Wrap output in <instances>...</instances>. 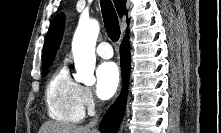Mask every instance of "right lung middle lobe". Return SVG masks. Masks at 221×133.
<instances>
[{
    "instance_id": "obj_1",
    "label": "right lung middle lobe",
    "mask_w": 221,
    "mask_h": 133,
    "mask_svg": "<svg viewBox=\"0 0 221 133\" xmlns=\"http://www.w3.org/2000/svg\"><path fill=\"white\" fill-rule=\"evenodd\" d=\"M52 63L50 64H46V65H43L42 66V76L45 77L48 73V67L51 65Z\"/></svg>"
}]
</instances>
